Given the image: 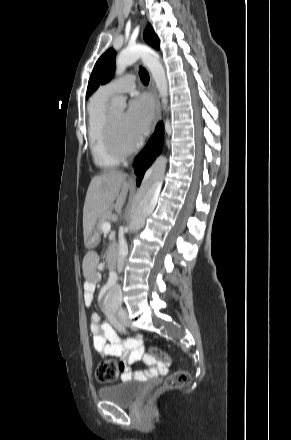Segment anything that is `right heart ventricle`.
I'll list each match as a JSON object with an SVG mask.
<instances>
[{
	"label": "right heart ventricle",
	"instance_id": "right-heart-ventricle-1",
	"mask_svg": "<svg viewBox=\"0 0 291 440\" xmlns=\"http://www.w3.org/2000/svg\"><path fill=\"white\" fill-rule=\"evenodd\" d=\"M108 99L109 97L101 95L97 90L88 107L89 148L95 165L102 168L116 167L120 163V159L113 156L109 151L104 135Z\"/></svg>",
	"mask_w": 291,
	"mask_h": 440
}]
</instances>
